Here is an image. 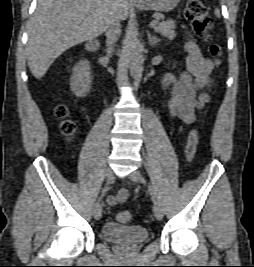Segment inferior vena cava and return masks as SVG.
Wrapping results in <instances>:
<instances>
[{
    "label": "inferior vena cava",
    "instance_id": "obj_1",
    "mask_svg": "<svg viewBox=\"0 0 254 267\" xmlns=\"http://www.w3.org/2000/svg\"><path fill=\"white\" fill-rule=\"evenodd\" d=\"M120 35V21L117 18L111 19L108 31L106 35V42H107V56L108 58L111 57L114 51V45Z\"/></svg>",
    "mask_w": 254,
    "mask_h": 267
}]
</instances>
